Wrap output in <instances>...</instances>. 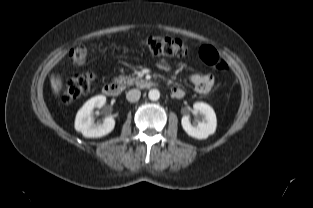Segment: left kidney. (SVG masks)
I'll use <instances>...</instances> for the list:
<instances>
[{
	"label": "left kidney",
	"mask_w": 313,
	"mask_h": 208,
	"mask_svg": "<svg viewBox=\"0 0 313 208\" xmlns=\"http://www.w3.org/2000/svg\"><path fill=\"white\" fill-rule=\"evenodd\" d=\"M193 109L203 115L201 122L193 126L189 120V116L182 117L181 124L185 132L197 139H206L209 135L214 134L217 126L216 114L212 107L203 102H196Z\"/></svg>",
	"instance_id": "5707ae66"
}]
</instances>
